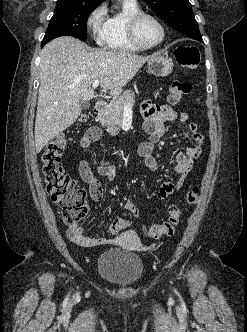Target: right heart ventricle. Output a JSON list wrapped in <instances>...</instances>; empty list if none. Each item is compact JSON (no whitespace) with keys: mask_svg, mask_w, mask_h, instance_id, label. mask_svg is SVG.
Masks as SVG:
<instances>
[{"mask_svg":"<svg viewBox=\"0 0 247 332\" xmlns=\"http://www.w3.org/2000/svg\"><path fill=\"white\" fill-rule=\"evenodd\" d=\"M140 11L141 8L136 0H122L121 7L107 17L102 45L115 51L136 52L140 50L132 44L127 32L129 19Z\"/></svg>","mask_w":247,"mask_h":332,"instance_id":"1","label":"right heart ventricle"}]
</instances>
